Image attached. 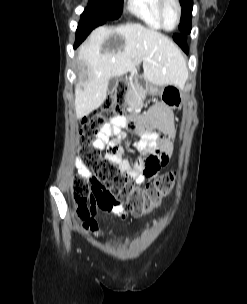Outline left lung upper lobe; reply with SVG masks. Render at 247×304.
Masks as SVG:
<instances>
[{
    "mask_svg": "<svg viewBox=\"0 0 247 304\" xmlns=\"http://www.w3.org/2000/svg\"><path fill=\"white\" fill-rule=\"evenodd\" d=\"M180 4L182 6V13L179 29L182 32H186L191 30L193 0H180Z\"/></svg>",
    "mask_w": 247,
    "mask_h": 304,
    "instance_id": "1",
    "label": "left lung upper lobe"
}]
</instances>
